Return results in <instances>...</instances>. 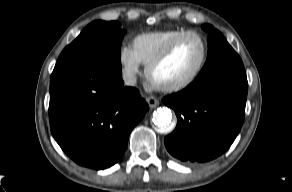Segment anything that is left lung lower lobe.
<instances>
[{"label": "left lung lower lobe", "instance_id": "left-lung-lower-lobe-1", "mask_svg": "<svg viewBox=\"0 0 292 192\" xmlns=\"http://www.w3.org/2000/svg\"><path fill=\"white\" fill-rule=\"evenodd\" d=\"M246 73H221L194 80L183 91L166 96L174 109L176 129L165 137L168 152L183 162H206L223 154L244 120Z\"/></svg>", "mask_w": 292, "mask_h": 192}]
</instances>
